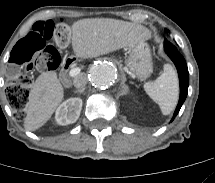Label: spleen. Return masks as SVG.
<instances>
[{
  "label": "spleen",
  "instance_id": "3e777b00",
  "mask_svg": "<svg viewBox=\"0 0 215 183\" xmlns=\"http://www.w3.org/2000/svg\"><path fill=\"white\" fill-rule=\"evenodd\" d=\"M149 97L155 101L164 115L170 114L178 101L179 85L176 71L172 65H164V72L154 81L144 84Z\"/></svg>",
  "mask_w": 215,
  "mask_h": 183
}]
</instances>
